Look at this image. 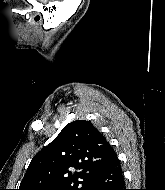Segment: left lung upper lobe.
<instances>
[{"label": "left lung upper lobe", "mask_w": 165, "mask_h": 190, "mask_svg": "<svg viewBox=\"0 0 165 190\" xmlns=\"http://www.w3.org/2000/svg\"><path fill=\"white\" fill-rule=\"evenodd\" d=\"M116 153L92 123L67 124L32 159L18 190H89Z\"/></svg>", "instance_id": "obj_1"}]
</instances>
